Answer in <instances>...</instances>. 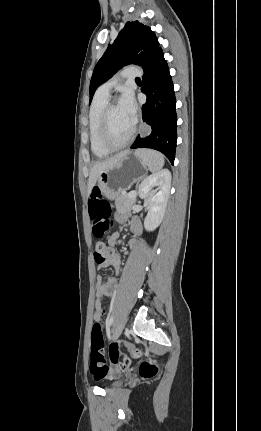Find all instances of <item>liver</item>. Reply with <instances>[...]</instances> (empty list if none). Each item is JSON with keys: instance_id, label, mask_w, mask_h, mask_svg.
Masks as SVG:
<instances>
[{"instance_id": "1", "label": "liver", "mask_w": 261, "mask_h": 431, "mask_svg": "<svg viewBox=\"0 0 261 431\" xmlns=\"http://www.w3.org/2000/svg\"><path fill=\"white\" fill-rule=\"evenodd\" d=\"M128 152L129 151H123L109 159L99 161L93 165L88 180V195H90L101 173L115 167Z\"/></svg>"}]
</instances>
